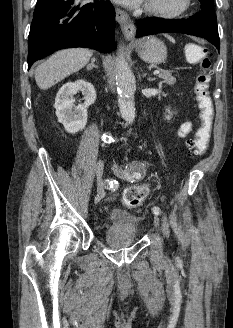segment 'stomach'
<instances>
[{
    "label": "stomach",
    "mask_w": 233,
    "mask_h": 328,
    "mask_svg": "<svg viewBox=\"0 0 233 328\" xmlns=\"http://www.w3.org/2000/svg\"><path fill=\"white\" fill-rule=\"evenodd\" d=\"M141 59L150 64H160L167 58V48L164 43L154 36H149L137 45Z\"/></svg>",
    "instance_id": "stomach-1"
}]
</instances>
